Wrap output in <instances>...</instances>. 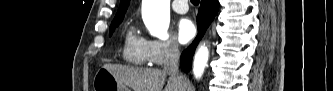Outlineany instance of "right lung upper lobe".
Listing matches in <instances>:
<instances>
[{"label": "right lung upper lobe", "mask_w": 333, "mask_h": 91, "mask_svg": "<svg viewBox=\"0 0 333 91\" xmlns=\"http://www.w3.org/2000/svg\"><path fill=\"white\" fill-rule=\"evenodd\" d=\"M128 5H129V0H121L118 12L114 19L124 18V14L128 8Z\"/></svg>", "instance_id": "1"}]
</instances>
